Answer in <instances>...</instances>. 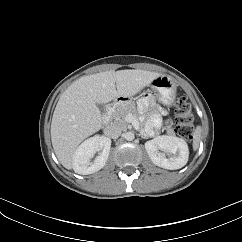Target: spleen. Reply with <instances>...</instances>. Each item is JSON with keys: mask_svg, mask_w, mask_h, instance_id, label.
<instances>
[{"mask_svg": "<svg viewBox=\"0 0 242 242\" xmlns=\"http://www.w3.org/2000/svg\"><path fill=\"white\" fill-rule=\"evenodd\" d=\"M201 137V127L198 126L193 132V148L196 150L199 146Z\"/></svg>", "mask_w": 242, "mask_h": 242, "instance_id": "3e777b00", "label": "spleen"}]
</instances>
